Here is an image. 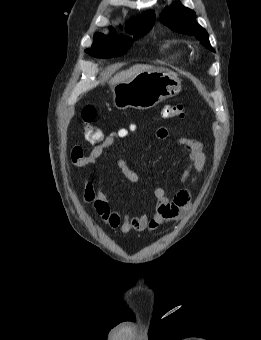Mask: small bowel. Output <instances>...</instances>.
I'll return each instance as SVG.
<instances>
[{
  "label": "small bowel",
  "mask_w": 261,
  "mask_h": 340,
  "mask_svg": "<svg viewBox=\"0 0 261 340\" xmlns=\"http://www.w3.org/2000/svg\"><path fill=\"white\" fill-rule=\"evenodd\" d=\"M134 130L135 125L131 124L128 128H121L106 135L103 141L94 146L87 154L84 153L80 146H74L70 153L72 164L80 168L94 166L104 150L112 146L116 139L124 138ZM155 135L158 139H166L168 130L165 127H159ZM179 144L185 148L188 157V163L180 175L179 183L180 185L188 181L195 183L206 162L202 144L189 138H180ZM117 166L130 182L138 183L140 181L139 175L128 166L124 159L119 158ZM154 197L156 206L152 216L149 217L145 214L130 216L114 210L109 204L108 195L103 188L102 182L95 181L93 178L86 180L82 195L83 202L90 206L106 225L112 229H119L124 235L131 231H154L162 225L178 220L191 207L190 189H180L172 198H169L164 188L157 187L154 189Z\"/></svg>",
  "instance_id": "small-bowel-1"
}]
</instances>
